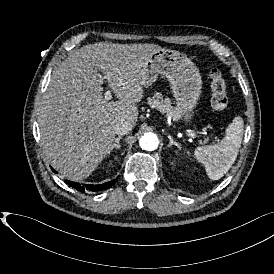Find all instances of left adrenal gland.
Returning a JSON list of instances; mask_svg holds the SVG:
<instances>
[{
    "label": "left adrenal gland",
    "instance_id": "obj_1",
    "mask_svg": "<svg viewBox=\"0 0 274 274\" xmlns=\"http://www.w3.org/2000/svg\"><path fill=\"white\" fill-rule=\"evenodd\" d=\"M169 144L168 147H171L172 145H175L179 150H181V145L179 143H177L176 141L173 140V138L169 135Z\"/></svg>",
    "mask_w": 274,
    "mask_h": 274
}]
</instances>
